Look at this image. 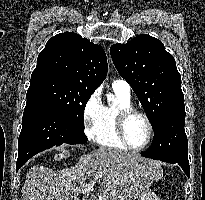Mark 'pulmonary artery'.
Here are the masks:
<instances>
[{
    "label": "pulmonary artery",
    "instance_id": "pulmonary-artery-1",
    "mask_svg": "<svg viewBox=\"0 0 205 200\" xmlns=\"http://www.w3.org/2000/svg\"><path fill=\"white\" fill-rule=\"evenodd\" d=\"M112 87L114 91H117L127 97H130L131 87L125 80L122 79L114 80L112 83Z\"/></svg>",
    "mask_w": 205,
    "mask_h": 200
}]
</instances>
